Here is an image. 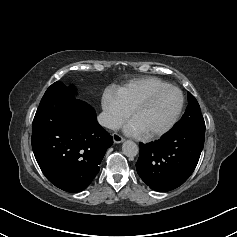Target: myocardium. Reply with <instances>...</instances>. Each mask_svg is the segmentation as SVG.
Here are the masks:
<instances>
[{"label":"myocardium","instance_id":"1","mask_svg":"<svg viewBox=\"0 0 237 237\" xmlns=\"http://www.w3.org/2000/svg\"><path fill=\"white\" fill-rule=\"evenodd\" d=\"M168 90H174V91L178 92V94L180 96L179 107H178L177 111L175 112V114L173 115V117L171 118V120L164 127L160 128L158 130L152 131V132L141 133L142 136L146 139L162 136L165 133H167L168 131H170L175 126V124L178 122V120L183 112V109H184L185 99H184V95H183L182 91L179 88L172 86V85H168L166 87L156 89V90L148 93L144 97H142L140 100H138L130 110V119L132 120L133 116L136 114L137 111H139L141 108H143L148 103H150L154 98H156L157 96H159L160 94H162Z\"/></svg>","mask_w":237,"mask_h":237}]
</instances>
